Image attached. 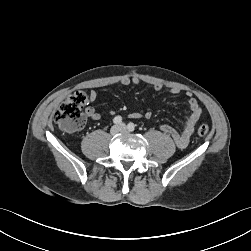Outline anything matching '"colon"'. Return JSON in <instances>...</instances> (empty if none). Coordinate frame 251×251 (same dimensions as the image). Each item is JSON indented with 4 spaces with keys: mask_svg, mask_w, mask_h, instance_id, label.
I'll list each match as a JSON object with an SVG mask.
<instances>
[{
    "mask_svg": "<svg viewBox=\"0 0 251 251\" xmlns=\"http://www.w3.org/2000/svg\"><path fill=\"white\" fill-rule=\"evenodd\" d=\"M87 100L88 97L83 91H77L68 96L55 113L56 123L67 131L81 129L85 124L83 106ZM197 132L199 136L207 137L209 135V127L206 124H200Z\"/></svg>",
    "mask_w": 251,
    "mask_h": 251,
    "instance_id": "5ec220e1",
    "label": "colon"
}]
</instances>
